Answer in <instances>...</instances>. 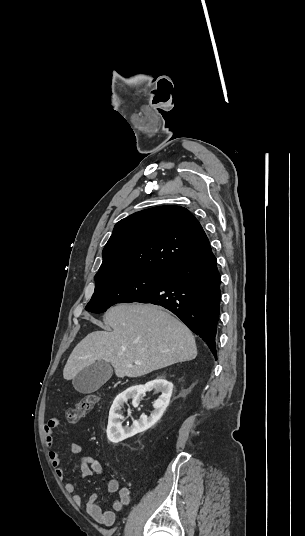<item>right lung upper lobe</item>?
Segmentation results:
<instances>
[{
  "mask_svg": "<svg viewBox=\"0 0 305 536\" xmlns=\"http://www.w3.org/2000/svg\"><path fill=\"white\" fill-rule=\"evenodd\" d=\"M211 252L202 226L186 208L154 207L115 225L95 280L131 272L169 273Z\"/></svg>",
  "mask_w": 305,
  "mask_h": 536,
  "instance_id": "1",
  "label": "right lung upper lobe"
}]
</instances>
